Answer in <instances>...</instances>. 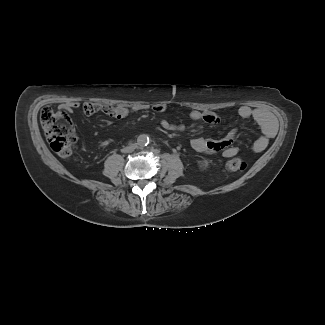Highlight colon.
<instances>
[{
	"mask_svg": "<svg viewBox=\"0 0 325 325\" xmlns=\"http://www.w3.org/2000/svg\"><path fill=\"white\" fill-rule=\"evenodd\" d=\"M40 122L51 149L60 157L69 158L77 143V137L71 125L66 122L59 111H54L48 106L41 109ZM224 168L228 172H239L246 168V163L235 157L226 161Z\"/></svg>",
	"mask_w": 325,
	"mask_h": 325,
	"instance_id": "colon-1",
	"label": "colon"
}]
</instances>
